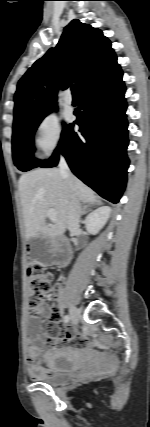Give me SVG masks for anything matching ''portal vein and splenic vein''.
Instances as JSON below:
<instances>
[{
  "mask_svg": "<svg viewBox=\"0 0 150 427\" xmlns=\"http://www.w3.org/2000/svg\"><path fill=\"white\" fill-rule=\"evenodd\" d=\"M47 216L49 217V219H50L52 222H55V221H56V218H57V212H56L54 209H49V210L47 211Z\"/></svg>",
  "mask_w": 150,
  "mask_h": 427,
  "instance_id": "1",
  "label": "portal vein and splenic vein"
}]
</instances>
